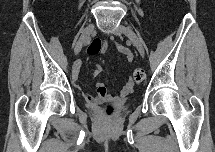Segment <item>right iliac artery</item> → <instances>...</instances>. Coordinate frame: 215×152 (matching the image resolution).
I'll list each match as a JSON object with an SVG mask.
<instances>
[{
	"mask_svg": "<svg viewBox=\"0 0 215 152\" xmlns=\"http://www.w3.org/2000/svg\"><path fill=\"white\" fill-rule=\"evenodd\" d=\"M90 39L86 41V43H89Z\"/></svg>",
	"mask_w": 215,
	"mask_h": 152,
	"instance_id": "1",
	"label": "right iliac artery"
}]
</instances>
